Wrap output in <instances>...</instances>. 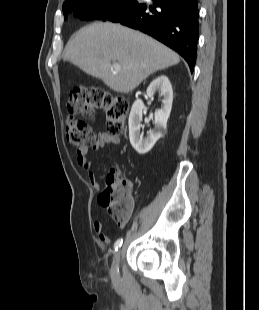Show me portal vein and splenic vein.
Returning a JSON list of instances; mask_svg holds the SVG:
<instances>
[{
	"mask_svg": "<svg viewBox=\"0 0 259 310\" xmlns=\"http://www.w3.org/2000/svg\"><path fill=\"white\" fill-rule=\"evenodd\" d=\"M112 67H113V69L118 71L121 69L122 66L119 63H113Z\"/></svg>",
	"mask_w": 259,
	"mask_h": 310,
	"instance_id": "portal-vein-and-splenic-vein-1",
	"label": "portal vein and splenic vein"
}]
</instances>
